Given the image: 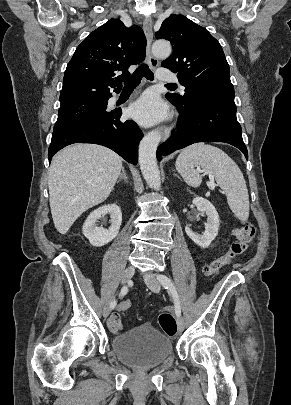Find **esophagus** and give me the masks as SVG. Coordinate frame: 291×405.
<instances>
[{
  "mask_svg": "<svg viewBox=\"0 0 291 405\" xmlns=\"http://www.w3.org/2000/svg\"><path fill=\"white\" fill-rule=\"evenodd\" d=\"M143 29H144V33H145L146 39H147L146 52H147L148 64L151 67V69L155 70L159 66V61L157 58H155L153 56L152 51H151V44L153 41V31H152V20L150 18L144 19ZM161 131H162V135H163V141L167 140L171 129L167 126H162Z\"/></svg>",
  "mask_w": 291,
  "mask_h": 405,
  "instance_id": "1",
  "label": "esophagus"
}]
</instances>
